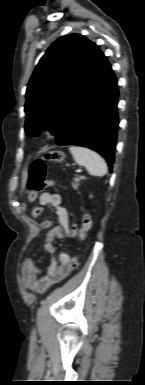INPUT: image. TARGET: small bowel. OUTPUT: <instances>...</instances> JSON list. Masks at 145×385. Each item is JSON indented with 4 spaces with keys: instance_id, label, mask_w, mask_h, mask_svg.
Instances as JSON below:
<instances>
[{
    "instance_id": "small-bowel-1",
    "label": "small bowel",
    "mask_w": 145,
    "mask_h": 385,
    "mask_svg": "<svg viewBox=\"0 0 145 385\" xmlns=\"http://www.w3.org/2000/svg\"><path fill=\"white\" fill-rule=\"evenodd\" d=\"M51 185L53 181L49 182ZM39 206L32 210L33 217H39L45 206H52L58 220V226L51 227V222L44 220L40 223L41 228H50L42 246L43 251L48 255V266L42 270L33 259H26L21 268V282L23 287L32 292L44 293L54 284L65 279L73 270L69 256L65 253L59 255V262L56 259L55 240H63L74 235L73 228L67 209L62 205L59 194L48 191L38 198Z\"/></svg>"
}]
</instances>
